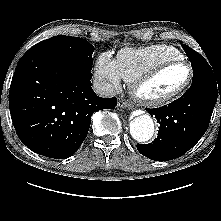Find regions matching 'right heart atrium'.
I'll return each instance as SVG.
<instances>
[{"label": "right heart atrium", "instance_id": "obj_1", "mask_svg": "<svg viewBox=\"0 0 221 221\" xmlns=\"http://www.w3.org/2000/svg\"><path fill=\"white\" fill-rule=\"evenodd\" d=\"M95 76L98 80L108 82L115 88H118L121 83L116 61L112 59L109 53L99 55L95 65Z\"/></svg>", "mask_w": 221, "mask_h": 221}]
</instances>
